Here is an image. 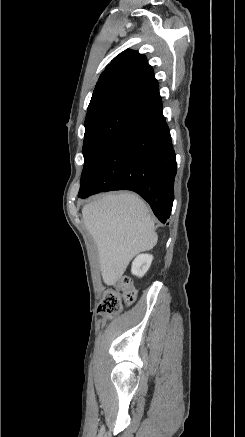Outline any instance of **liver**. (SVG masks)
I'll return each mask as SVG.
<instances>
[{"instance_id":"liver-1","label":"liver","mask_w":245,"mask_h":437,"mask_svg":"<svg viewBox=\"0 0 245 437\" xmlns=\"http://www.w3.org/2000/svg\"><path fill=\"white\" fill-rule=\"evenodd\" d=\"M82 215L96 243L106 285H114L134 256L151 250L157 243L149 208L135 194L104 195L86 204Z\"/></svg>"}]
</instances>
